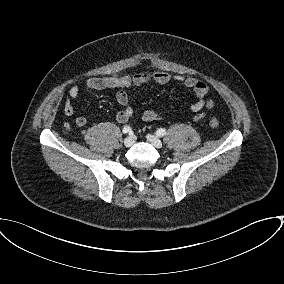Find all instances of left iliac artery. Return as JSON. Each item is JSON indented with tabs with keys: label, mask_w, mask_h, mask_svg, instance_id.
Instances as JSON below:
<instances>
[{
	"label": "left iliac artery",
	"mask_w": 284,
	"mask_h": 284,
	"mask_svg": "<svg viewBox=\"0 0 284 284\" xmlns=\"http://www.w3.org/2000/svg\"><path fill=\"white\" fill-rule=\"evenodd\" d=\"M166 134V129L165 128H160L156 131V135L159 137H162Z\"/></svg>",
	"instance_id": "44dca946"
}]
</instances>
